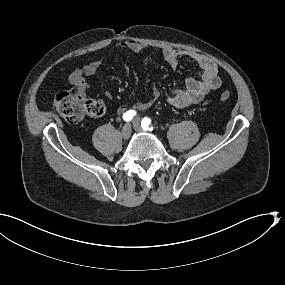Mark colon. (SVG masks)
Listing matches in <instances>:
<instances>
[{"instance_id":"colon-1","label":"colon","mask_w":285,"mask_h":285,"mask_svg":"<svg viewBox=\"0 0 285 285\" xmlns=\"http://www.w3.org/2000/svg\"><path fill=\"white\" fill-rule=\"evenodd\" d=\"M229 91L219 95L221 101L230 98ZM54 111L69 123H78L86 117H100L105 112L103 102L88 98L86 94L75 88L58 93L54 100Z\"/></svg>"}]
</instances>
